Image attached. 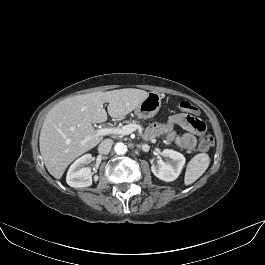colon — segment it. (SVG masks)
<instances>
[{
  "mask_svg": "<svg viewBox=\"0 0 265 265\" xmlns=\"http://www.w3.org/2000/svg\"><path fill=\"white\" fill-rule=\"evenodd\" d=\"M179 108L188 115L195 116L198 113L197 108L188 101L180 102ZM213 144H214L213 136L210 134H203L199 141V149L202 151H206L210 149L213 146Z\"/></svg>",
  "mask_w": 265,
  "mask_h": 265,
  "instance_id": "obj_1",
  "label": "colon"
}]
</instances>
